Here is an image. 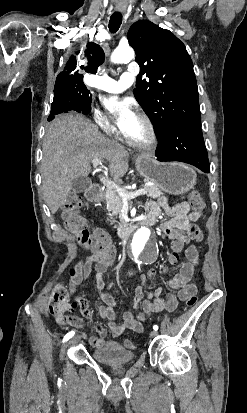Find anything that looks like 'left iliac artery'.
<instances>
[{
  "mask_svg": "<svg viewBox=\"0 0 247 413\" xmlns=\"http://www.w3.org/2000/svg\"><path fill=\"white\" fill-rule=\"evenodd\" d=\"M153 329H154L155 331H157V330H158V326H157V325H154V326H153Z\"/></svg>",
  "mask_w": 247,
  "mask_h": 413,
  "instance_id": "1",
  "label": "left iliac artery"
}]
</instances>
